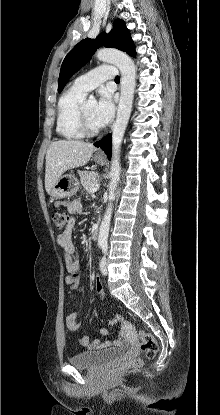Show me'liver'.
Returning <instances> with one entry per match:
<instances>
[{
	"label": "liver",
	"instance_id": "obj_1",
	"mask_svg": "<svg viewBox=\"0 0 220 415\" xmlns=\"http://www.w3.org/2000/svg\"><path fill=\"white\" fill-rule=\"evenodd\" d=\"M96 147L76 140H60L51 143L46 153L45 189L48 194L53 185L67 171L88 163Z\"/></svg>",
	"mask_w": 220,
	"mask_h": 415
}]
</instances>
